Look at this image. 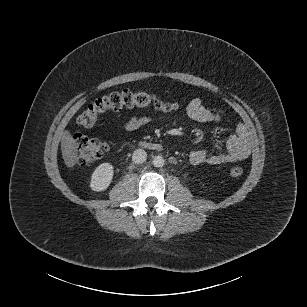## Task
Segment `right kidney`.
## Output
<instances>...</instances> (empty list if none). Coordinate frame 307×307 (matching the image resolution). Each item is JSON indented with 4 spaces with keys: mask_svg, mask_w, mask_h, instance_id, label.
Listing matches in <instances>:
<instances>
[{
    "mask_svg": "<svg viewBox=\"0 0 307 307\" xmlns=\"http://www.w3.org/2000/svg\"><path fill=\"white\" fill-rule=\"evenodd\" d=\"M113 178V166L110 163L99 165L92 174L90 187L93 191H103L108 188Z\"/></svg>",
    "mask_w": 307,
    "mask_h": 307,
    "instance_id": "right-kidney-1",
    "label": "right kidney"
}]
</instances>
